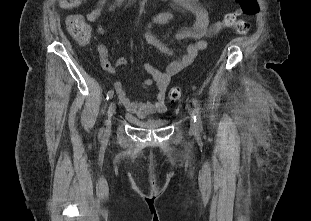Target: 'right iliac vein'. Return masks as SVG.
Wrapping results in <instances>:
<instances>
[{
    "instance_id": "obj_1",
    "label": "right iliac vein",
    "mask_w": 311,
    "mask_h": 221,
    "mask_svg": "<svg viewBox=\"0 0 311 221\" xmlns=\"http://www.w3.org/2000/svg\"><path fill=\"white\" fill-rule=\"evenodd\" d=\"M116 105L113 101L110 102L107 110V119H106V131L109 132L112 124V116L115 113Z\"/></svg>"
}]
</instances>
